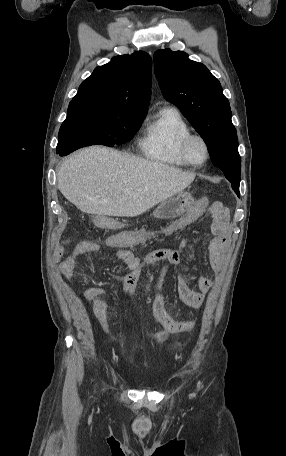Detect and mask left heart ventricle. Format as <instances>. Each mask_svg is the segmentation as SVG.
Masks as SVG:
<instances>
[{
  "mask_svg": "<svg viewBox=\"0 0 286 456\" xmlns=\"http://www.w3.org/2000/svg\"><path fill=\"white\" fill-rule=\"evenodd\" d=\"M188 153L194 163H201L205 159V148L201 141L194 139L190 142Z\"/></svg>",
  "mask_w": 286,
  "mask_h": 456,
  "instance_id": "left-heart-ventricle-1",
  "label": "left heart ventricle"
}]
</instances>
